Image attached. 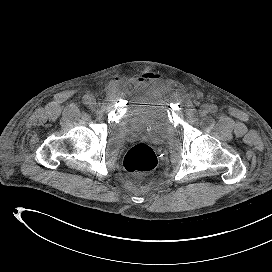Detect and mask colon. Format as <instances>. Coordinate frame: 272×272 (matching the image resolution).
<instances>
[{
  "label": "colon",
  "mask_w": 272,
  "mask_h": 272,
  "mask_svg": "<svg viewBox=\"0 0 272 272\" xmlns=\"http://www.w3.org/2000/svg\"><path fill=\"white\" fill-rule=\"evenodd\" d=\"M123 164L131 173L149 172L156 167L157 157L150 146L138 144L126 153Z\"/></svg>",
  "instance_id": "1"
}]
</instances>
